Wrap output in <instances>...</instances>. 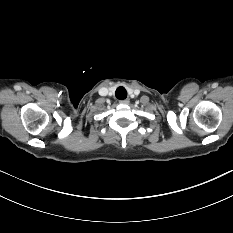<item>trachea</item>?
<instances>
[{"label": "trachea", "mask_w": 233, "mask_h": 233, "mask_svg": "<svg viewBox=\"0 0 233 233\" xmlns=\"http://www.w3.org/2000/svg\"><path fill=\"white\" fill-rule=\"evenodd\" d=\"M115 95L117 99L123 100V99H126L127 97V91L124 87H118Z\"/></svg>", "instance_id": "3493384b"}]
</instances>
